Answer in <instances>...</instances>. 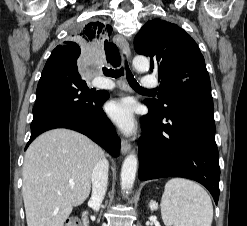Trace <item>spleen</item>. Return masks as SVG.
<instances>
[{"instance_id":"spleen-1","label":"spleen","mask_w":247,"mask_h":226,"mask_svg":"<svg viewBox=\"0 0 247 226\" xmlns=\"http://www.w3.org/2000/svg\"><path fill=\"white\" fill-rule=\"evenodd\" d=\"M165 223L173 226H211L213 205L208 193L197 183L170 179L161 200Z\"/></svg>"}]
</instances>
